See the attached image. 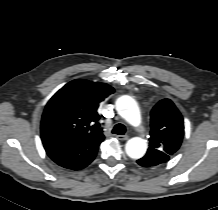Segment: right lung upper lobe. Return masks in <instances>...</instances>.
Returning <instances> with one entry per match:
<instances>
[{
    "label": "right lung upper lobe",
    "mask_w": 218,
    "mask_h": 210,
    "mask_svg": "<svg viewBox=\"0 0 218 210\" xmlns=\"http://www.w3.org/2000/svg\"><path fill=\"white\" fill-rule=\"evenodd\" d=\"M113 93L114 89L105 83L80 79L69 82L48 101L42 116L41 134L58 133L79 140L104 138L97 110Z\"/></svg>",
    "instance_id": "obj_1"
}]
</instances>
